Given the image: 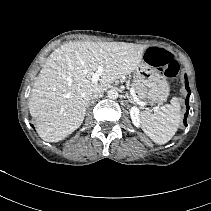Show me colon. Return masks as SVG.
<instances>
[{"instance_id":"obj_1","label":"colon","mask_w":211,"mask_h":211,"mask_svg":"<svg viewBox=\"0 0 211 211\" xmlns=\"http://www.w3.org/2000/svg\"><path fill=\"white\" fill-rule=\"evenodd\" d=\"M146 61L162 71L168 78H175L179 73V64L174 56L167 50L157 47L147 49L145 53Z\"/></svg>"}]
</instances>
